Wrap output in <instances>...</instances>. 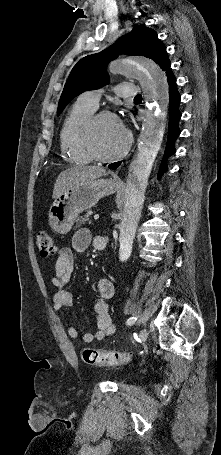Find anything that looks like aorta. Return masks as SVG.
<instances>
[{"label": "aorta", "mask_w": 221, "mask_h": 455, "mask_svg": "<svg viewBox=\"0 0 221 455\" xmlns=\"http://www.w3.org/2000/svg\"><path fill=\"white\" fill-rule=\"evenodd\" d=\"M109 70L113 74L136 76L144 88L147 104L138 151L130 164L126 182L119 235V255L120 260L124 261L131 254L143 208L147 180L163 140L168 107V86L164 72L149 59L125 58L113 62Z\"/></svg>", "instance_id": "obj_1"}]
</instances>
